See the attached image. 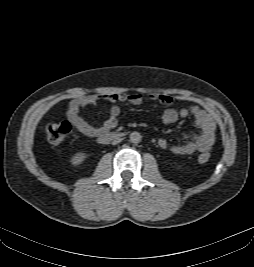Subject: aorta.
Returning a JSON list of instances; mask_svg holds the SVG:
<instances>
[{
    "mask_svg": "<svg viewBox=\"0 0 254 267\" xmlns=\"http://www.w3.org/2000/svg\"><path fill=\"white\" fill-rule=\"evenodd\" d=\"M142 140V136L139 132L134 131L130 134V141L134 144L140 143Z\"/></svg>",
    "mask_w": 254,
    "mask_h": 267,
    "instance_id": "1",
    "label": "aorta"
}]
</instances>
